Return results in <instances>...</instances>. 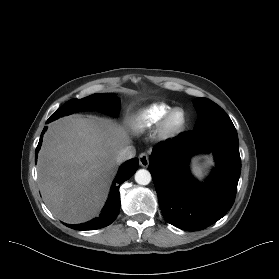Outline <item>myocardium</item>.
<instances>
[{
	"instance_id": "myocardium-1",
	"label": "myocardium",
	"mask_w": 279,
	"mask_h": 279,
	"mask_svg": "<svg viewBox=\"0 0 279 279\" xmlns=\"http://www.w3.org/2000/svg\"><path fill=\"white\" fill-rule=\"evenodd\" d=\"M181 114V121L177 125L172 124V117L175 114ZM187 125V114L179 107L171 108L162 118L159 125V135L163 139H172L181 134Z\"/></svg>"
}]
</instances>
